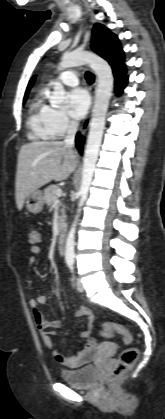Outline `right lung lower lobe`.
<instances>
[{"mask_svg":"<svg viewBox=\"0 0 165 419\" xmlns=\"http://www.w3.org/2000/svg\"><path fill=\"white\" fill-rule=\"evenodd\" d=\"M76 143H77V148L81 152L82 151L81 149H82L83 138L79 133L76 136Z\"/></svg>","mask_w":165,"mask_h":419,"instance_id":"98d812e1","label":"right lung lower lobe"}]
</instances>
